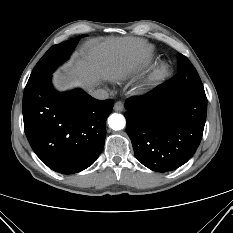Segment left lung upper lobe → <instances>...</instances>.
I'll list each match as a JSON object with an SVG mask.
<instances>
[{"label": "left lung upper lobe", "instance_id": "obj_1", "mask_svg": "<svg viewBox=\"0 0 233 233\" xmlns=\"http://www.w3.org/2000/svg\"><path fill=\"white\" fill-rule=\"evenodd\" d=\"M177 57L178 73L167 81V85L177 89L205 93L200 77L190 61L182 54H178Z\"/></svg>", "mask_w": 233, "mask_h": 233}]
</instances>
